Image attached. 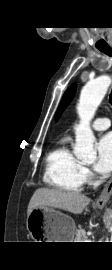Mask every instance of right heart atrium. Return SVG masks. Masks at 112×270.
<instances>
[{"label":"right heart atrium","mask_w":112,"mask_h":270,"mask_svg":"<svg viewBox=\"0 0 112 270\" xmlns=\"http://www.w3.org/2000/svg\"><path fill=\"white\" fill-rule=\"evenodd\" d=\"M84 176L88 180L91 179L92 173H91V171L88 168H84Z\"/></svg>","instance_id":"obj_1"}]
</instances>
